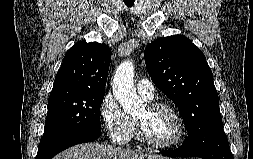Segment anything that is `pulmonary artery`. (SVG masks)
Here are the masks:
<instances>
[{"label":"pulmonary artery","instance_id":"e3ab8cb5","mask_svg":"<svg viewBox=\"0 0 253 159\" xmlns=\"http://www.w3.org/2000/svg\"><path fill=\"white\" fill-rule=\"evenodd\" d=\"M138 93L146 100H151L154 96V86L147 79H141L136 85Z\"/></svg>","mask_w":253,"mask_h":159}]
</instances>
